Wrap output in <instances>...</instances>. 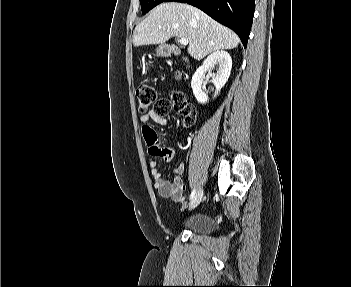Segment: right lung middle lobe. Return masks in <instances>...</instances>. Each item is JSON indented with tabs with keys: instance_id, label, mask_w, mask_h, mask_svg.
<instances>
[{
	"instance_id": "dd1d6c3e",
	"label": "right lung middle lobe",
	"mask_w": 351,
	"mask_h": 287,
	"mask_svg": "<svg viewBox=\"0 0 351 287\" xmlns=\"http://www.w3.org/2000/svg\"><path fill=\"white\" fill-rule=\"evenodd\" d=\"M165 0H140L142 13L145 14Z\"/></svg>"
}]
</instances>
